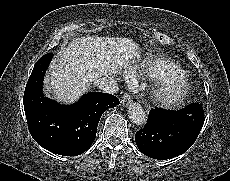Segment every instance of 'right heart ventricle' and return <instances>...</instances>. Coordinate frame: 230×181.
<instances>
[{
    "label": "right heart ventricle",
    "instance_id": "obj_1",
    "mask_svg": "<svg viewBox=\"0 0 230 181\" xmlns=\"http://www.w3.org/2000/svg\"><path fill=\"white\" fill-rule=\"evenodd\" d=\"M175 72H183L179 65L161 57L149 58L140 67L129 72L131 76L146 75L150 79H157L159 77L172 74Z\"/></svg>",
    "mask_w": 230,
    "mask_h": 181
}]
</instances>
